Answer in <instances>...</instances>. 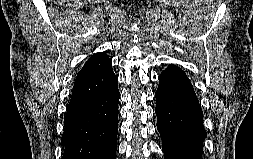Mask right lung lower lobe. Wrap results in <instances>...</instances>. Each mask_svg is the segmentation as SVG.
<instances>
[{
    "label": "right lung lower lobe",
    "instance_id": "right-lung-lower-lobe-1",
    "mask_svg": "<svg viewBox=\"0 0 253 159\" xmlns=\"http://www.w3.org/2000/svg\"><path fill=\"white\" fill-rule=\"evenodd\" d=\"M118 78L112 63L75 81L64 118L62 159H115Z\"/></svg>",
    "mask_w": 253,
    "mask_h": 159
}]
</instances>
